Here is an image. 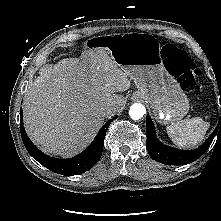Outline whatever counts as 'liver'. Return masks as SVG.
<instances>
[{"instance_id": "liver-1", "label": "liver", "mask_w": 221, "mask_h": 221, "mask_svg": "<svg viewBox=\"0 0 221 221\" xmlns=\"http://www.w3.org/2000/svg\"><path fill=\"white\" fill-rule=\"evenodd\" d=\"M128 75L104 48L46 65L29 86L23 101L28 136L45 153L71 157L96 136L110 104L124 106L117 94L130 88Z\"/></svg>"}]
</instances>
